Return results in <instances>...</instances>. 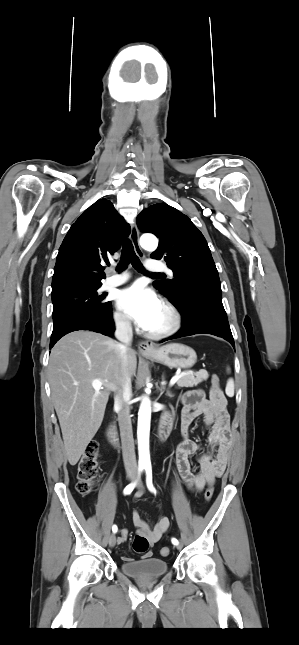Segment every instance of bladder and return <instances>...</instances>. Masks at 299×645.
Here are the masks:
<instances>
[{
	"instance_id": "obj_1",
	"label": "bladder",
	"mask_w": 299,
	"mask_h": 645,
	"mask_svg": "<svg viewBox=\"0 0 299 645\" xmlns=\"http://www.w3.org/2000/svg\"><path fill=\"white\" fill-rule=\"evenodd\" d=\"M168 569L167 561L157 557L124 561L120 565L123 574L137 579L160 577L166 574Z\"/></svg>"
}]
</instances>
